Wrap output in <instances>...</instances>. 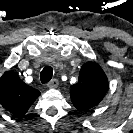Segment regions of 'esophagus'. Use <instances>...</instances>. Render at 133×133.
Listing matches in <instances>:
<instances>
[{"instance_id":"esophagus-1","label":"esophagus","mask_w":133,"mask_h":133,"mask_svg":"<svg viewBox=\"0 0 133 133\" xmlns=\"http://www.w3.org/2000/svg\"><path fill=\"white\" fill-rule=\"evenodd\" d=\"M58 80L56 78L52 79L49 83H47L48 88H57L58 87Z\"/></svg>"}]
</instances>
